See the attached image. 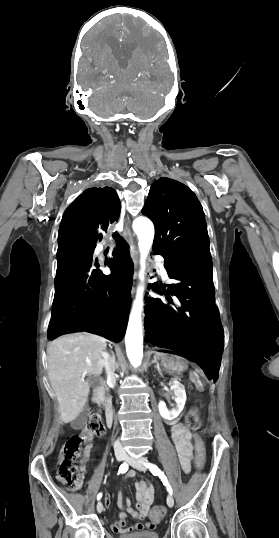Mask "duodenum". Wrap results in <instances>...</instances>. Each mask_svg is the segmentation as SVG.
I'll list each match as a JSON object with an SVG mask.
<instances>
[{"mask_svg": "<svg viewBox=\"0 0 279 538\" xmlns=\"http://www.w3.org/2000/svg\"><path fill=\"white\" fill-rule=\"evenodd\" d=\"M105 387H106V382L100 381L98 383V387H95V389L91 391V394L93 395V399L100 400L102 398V394H105V391H104ZM104 399H107V396H104ZM95 409H98V406H95ZM105 410H106L105 417H107L106 419L107 423H104V428L110 429L112 428V422H113L112 417L114 413L113 406L111 405V401H106Z\"/></svg>", "mask_w": 279, "mask_h": 538, "instance_id": "410a0bca", "label": "duodenum"}]
</instances>
